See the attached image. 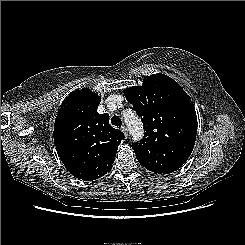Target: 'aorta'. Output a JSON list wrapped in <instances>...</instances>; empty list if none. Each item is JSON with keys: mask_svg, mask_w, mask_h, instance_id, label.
<instances>
[{"mask_svg": "<svg viewBox=\"0 0 245 245\" xmlns=\"http://www.w3.org/2000/svg\"><path fill=\"white\" fill-rule=\"evenodd\" d=\"M126 124L131 132L133 139L138 140L142 137V126L139 118L136 115H131L126 118Z\"/></svg>", "mask_w": 245, "mask_h": 245, "instance_id": "aorta-1", "label": "aorta"}]
</instances>
